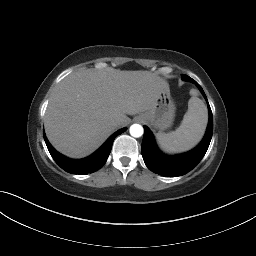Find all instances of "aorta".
<instances>
[{"instance_id": "762f6f07", "label": "aorta", "mask_w": 256, "mask_h": 256, "mask_svg": "<svg viewBox=\"0 0 256 256\" xmlns=\"http://www.w3.org/2000/svg\"><path fill=\"white\" fill-rule=\"evenodd\" d=\"M129 132L131 136L138 138L143 135L144 129L140 124H133L130 126Z\"/></svg>"}]
</instances>
